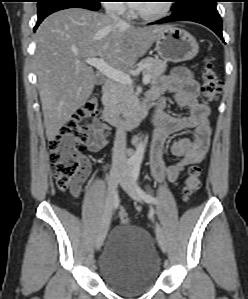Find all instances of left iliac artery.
I'll use <instances>...</instances> for the list:
<instances>
[{"label": "left iliac artery", "instance_id": "left-iliac-artery-1", "mask_svg": "<svg viewBox=\"0 0 248 299\" xmlns=\"http://www.w3.org/2000/svg\"><path fill=\"white\" fill-rule=\"evenodd\" d=\"M140 167H141V162L136 161L133 164L132 168V178L135 184H137V181L139 179V174H140ZM137 190L141 196V198L147 202V203H153V204H159V201L153 197L152 195L146 193L144 190H142L139 186H137ZM156 232H157V227H156Z\"/></svg>", "mask_w": 248, "mask_h": 299}]
</instances>
